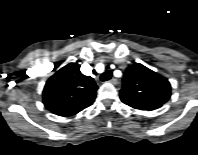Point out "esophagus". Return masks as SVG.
<instances>
[{
	"label": "esophagus",
	"instance_id": "1",
	"mask_svg": "<svg viewBox=\"0 0 198 155\" xmlns=\"http://www.w3.org/2000/svg\"><path fill=\"white\" fill-rule=\"evenodd\" d=\"M109 82H110L111 84H117V79L112 78L111 80H109Z\"/></svg>",
	"mask_w": 198,
	"mask_h": 155
}]
</instances>
